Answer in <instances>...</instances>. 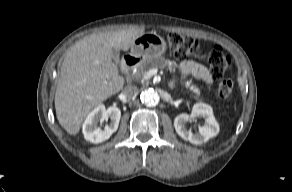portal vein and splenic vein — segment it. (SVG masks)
I'll use <instances>...</instances> for the list:
<instances>
[{
    "label": "portal vein and splenic vein",
    "instance_id": "obj_1",
    "mask_svg": "<svg viewBox=\"0 0 292 192\" xmlns=\"http://www.w3.org/2000/svg\"><path fill=\"white\" fill-rule=\"evenodd\" d=\"M157 71H158L157 69H151L144 74L143 78L150 79L153 75L157 73Z\"/></svg>",
    "mask_w": 292,
    "mask_h": 192
}]
</instances>
